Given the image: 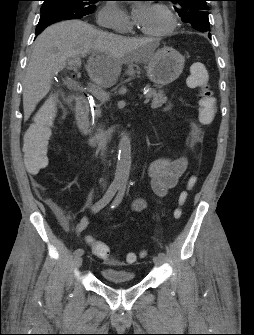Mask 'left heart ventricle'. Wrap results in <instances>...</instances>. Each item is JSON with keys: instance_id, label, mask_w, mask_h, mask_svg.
Masks as SVG:
<instances>
[{"instance_id": "b2bd125f", "label": "left heart ventricle", "mask_w": 254, "mask_h": 335, "mask_svg": "<svg viewBox=\"0 0 254 335\" xmlns=\"http://www.w3.org/2000/svg\"><path fill=\"white\" fill-rule=\"evenodd\" d=\"M169 25L168 17L158 8L152 7L148 18L145 23L141 26V29L150 32L156 33L163 31Z\"/></svg>"}]
</instances>
